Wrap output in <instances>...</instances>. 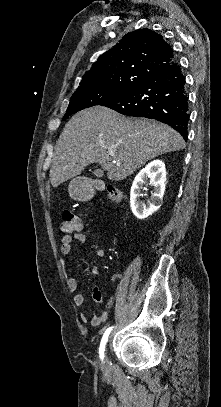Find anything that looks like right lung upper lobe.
Segmentation results:
<instances>
[{"mask_svg":"<svg viewBox=\"0 0 221 407\" xmlns=\"http://www.w3.org/2000/svg\"><path fill=\"white\" fill-rule=\"evenodd\" d=\"M174 60L172 47L150 29L126 34L85 73L77 90L97 85L137 86Z\"/></svg>","mask_w":221,"mask_h":407,"instance_id":"cb5924a9","label":"right lung upper lobe"}]
</instances>
